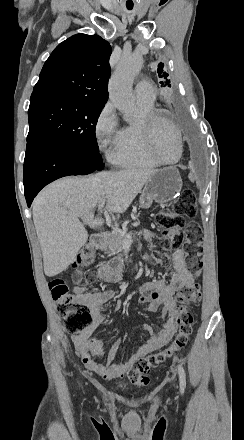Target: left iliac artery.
<instances>
[{
	"mask_svg": "<svg viewBox=\"0 0 244 440\" xmlns=\"http://www.w3.org/2000/svg\"><path fill=\"white\" fill-rule=\"evenodd\" d=\"M177 370H178V374H179L180 389H181V391H184V389L186 387V374H185L184 368L181 364H178Z\"/></svg>",
	"mask_w": 244,
	"mask_h": 440,
	"instance_id": "1",
	"label": "left iliac artery"
}]
</instances>
